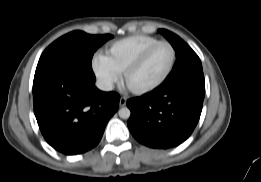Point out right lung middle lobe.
<instances>
[{"label":"right lung middle lobe","mask_w":261,"mask_h":182,"mask_svg":"<svg viewBox=\"0 0 261 182\" xmlns=\"http://www.w3.org/2000/svg\"><path fill=\"white\" fill-rule=\"evenodd\" d=\"M113 35H89L70 32L54 41L41 55L35 74L62 63H71L84 73L88 81H95L91 68L94 52Z\"/></svg>","instance_id":"dd1d6c3e"}]
</instances>
